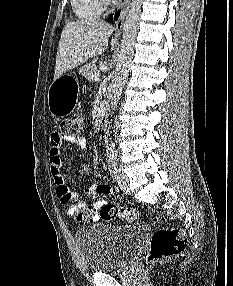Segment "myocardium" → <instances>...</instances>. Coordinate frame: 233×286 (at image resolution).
I'll return each mask as SVG.
<instances>
[{"label":"myocardium","instance_id":"1","mask_svg":"<svg viewBox=\"0 0 233 286\" xmlns=\"http://www.w3.org/2000/svg\"><path fill=\"white\" fill-rule=\"evenodd\" d=\"M102 5L107 6L109 5L113 0H100Z\"/></svg>","mask_w":233,"mask_h":286}]
</instances>
